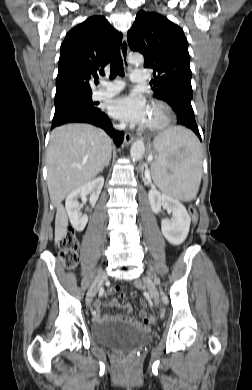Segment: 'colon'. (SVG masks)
Returning a JSON list of instances; mask_svg holds the SVG:
<instances>
[{
  "label": "colon",
  "instance_id": "colon-1",
  "mask_svg": "<svg viewBox=\"0 0 252 390\" xmlns=\"http://www.w3.org/2000/svg\"><path fill=\"white\" fill-rule=\"evenodd\" d=\"M189 213L194 222L197 221V211L193 206L189 207ZM79 242L77 237L73 232L67 233L59 242V260L66 268H73L79 262L78 254ZM117 291L120 295H123L124 292L120 287H117ZM137 292L133 290L131 292L132 296H136Z\"/></svg>",
  "mask_w": 252,
  "mask_h": 390
}]
</instances>
